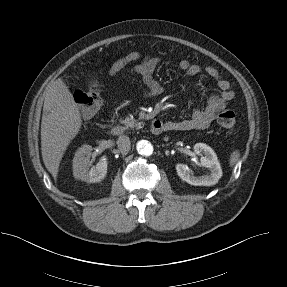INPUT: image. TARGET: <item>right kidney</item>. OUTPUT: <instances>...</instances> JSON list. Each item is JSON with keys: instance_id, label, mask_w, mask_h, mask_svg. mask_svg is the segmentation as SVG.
I'll return each instance as SVG.
<instances>
[{"instance_id": "right-kidney-1", "label": "right kidney", "mask_w": 287, "mask_h": 287, "mask_svg": "<svg viewBox=\"0 0 287 287\" xmlns=\"http://www.w3.org/2000/svg\"><path fill=\"white\" fill-rule=\"evenodd\" d=\"M91 151L92 146L90 145H83L76 151L73 158V176L76 179L94 183L104 179L107 173L108 162L103 158L89 170L88 164Z\"/></svg>"}]
</instances>
